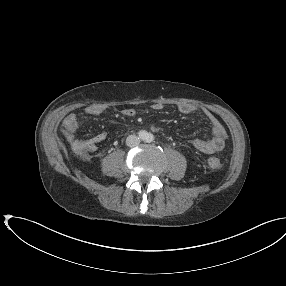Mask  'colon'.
Returning <instances> with one entry per match:
<instances>
[{
	"mask_svg": "<svg viewBox=\"0 0 286 286\" xmlns=\"http://www.w3.org/2000/svg\"><path fill=\"white\" fill-rule=\"evenodd\" d=\"M207 165L209 168L217 169V168H220L221 162L219 161V159H217L215 157H210L207 160Z\"/></svg>",
	"mask_w": 286,
	"mask_h": 286,
	"instance_id": "1",
	"label": "colon"
}]
</instances>
